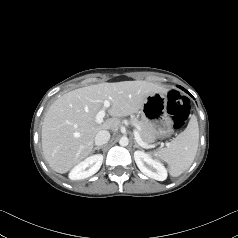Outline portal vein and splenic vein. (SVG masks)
Instances as JSON below:
<instances>
[{
  "instance_id": "obj_1",
  "label": "portal vein and splenic vein",
  "mask_w": 238,
  "mask_h": 238,
  "mask_svg": "<svg viewBox=\"0 0 238 238\" xmlns=\"http://www.w3.org/2000/svg\"><path fill=\"white\" fill-rule=\"evenodd\" d=\"M110 107V101L109 100H105L103 102V107L99 110V112L96 114V122L97 123H101L103 121V118L106 115V110ZM134 136H135V140L137 141V143L144 147L147 148L149 147L145 142H143V140L140 137V134L137 130H134ZM152 147V146H151Z\"/></svg>"
}]
</instances>
